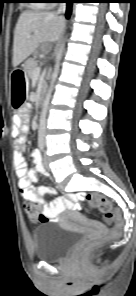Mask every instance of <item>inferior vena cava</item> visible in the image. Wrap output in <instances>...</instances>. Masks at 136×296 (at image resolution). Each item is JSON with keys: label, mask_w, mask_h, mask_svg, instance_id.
Segmentation results:
<instances>
[{"label": "inferior vena cava", "mask_w": 136, "mask_h": 296, "mask_svg": "<svg viewBox=\"0 0 136 296\" xmlns=\"http://www.w3.org/2000/svg\"><path fill=\"white\" fill-rule=\"evenodd\" d=\"M66 10V3H60L57 14L64 13Z\"/></svg>", "instance_id": "1"}]
</instances>
